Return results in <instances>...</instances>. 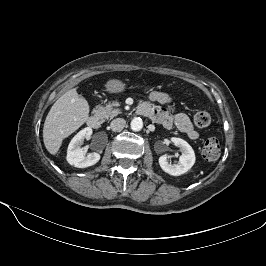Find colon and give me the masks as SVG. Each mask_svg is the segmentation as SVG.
I'll return each mask as SVG.
<instances>
[{
  "mask_svg": "<svg viewBox=\"0 0 266 266\" xmlns=\"http://www.w3.org/2000/svg\"><path fill=\"white\" fill-rule=\"evenodd\" d=\"M194 124L199 128L210 125L211 116L206 110H197L193 116ZM220 154V143L216 137L206 139L202 147V155L206 160H215Z\"/></svg>",
  "mask_w": 266,
  "mask_h": 266,
  "instance_id": "colon-1",
  "label": "colon"
}]
</instances>
